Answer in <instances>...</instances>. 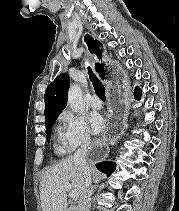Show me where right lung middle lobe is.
<instances>
[{
    "label": "right lung middle lobe",
    "instance_id": "right-lung-middle-lobe-1",
    "mask_svg": "<svg viewBox=\"0 0 179 211\" xmlns=\"http://www.w3.org/2000/svg\"><path fill=\"white\" fill-rule=\"evenodd\" d=\"M57 117L58 116L52 117L49 120H46V122H45V124H46V131H47L46 139H47L48 142L50 141L52 126H53L54 122L56 121Z\"/></svg>",
    "mask_w": 179,
    "mask_h": 211
}]
</instances>
